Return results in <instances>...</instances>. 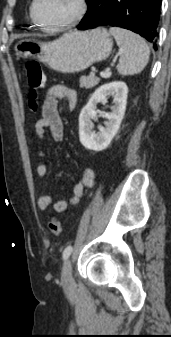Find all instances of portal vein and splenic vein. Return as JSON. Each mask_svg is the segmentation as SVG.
I'll use <instances>...</instances> for the list:
<instances>
[{"mask_svg": "<svg viewBox=\"0 0 171 337\" xmlns=\"http://www.w3.org/2000/svg\"><path fill=\"white\" fill-rule=\"evenodd\" d=\"M101 77L103 78H108L111 75V72L105 71V72H100Z\"/></svg>", "mask_w": 171, "mask_h": 337, "instance_id": "18ae733b", "label": "portal vein and splenic vein"}]
</instances>
